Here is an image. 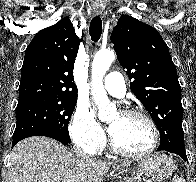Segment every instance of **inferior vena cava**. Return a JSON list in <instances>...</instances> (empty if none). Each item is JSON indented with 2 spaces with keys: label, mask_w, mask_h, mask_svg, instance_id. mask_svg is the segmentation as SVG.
Returning a JSON list of instances; mask_svg holds the SVG:
<instances>
[{
  "label": "inferior vena cava",
  "mask_w": 196,
  "mask_h": 182,
  "mask_svg": "<svg viewBox=\"0 0 196 182\" xmlns=\"http://www.w3.org/2000/svg\"><path fill=\"white\" fill-rule=\"evenodd\" d=\"M75 152H76V155L79 156V157L89 158V157H88L87 155H85V153L82 152V150L79 149V148H76V149H75Z\"/></svg>",
  "instance_id": "inferior-vena-cava-1"
}]
</instances>
